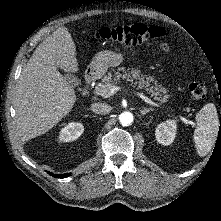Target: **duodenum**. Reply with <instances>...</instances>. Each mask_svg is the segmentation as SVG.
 I'll list each match as a JSON object with an SVG mask.
<instances>
[{"label": "duodenum", "mask_w": 221, "mask_h": 221, "mask_svg": "<svg viewBox=\"0 0 221 221\" xmlns=\"http://www.w3.org/2000/svg\"><path fill=\"white\" fill-rule=\"evenodd\" d=\"M96 79V73L93 71H90L86 74L85 77V88L83 90V93L86 94L89 86L95 81Z\"/></svg>", "instance_id": "410a0bca"}]
</instances>
